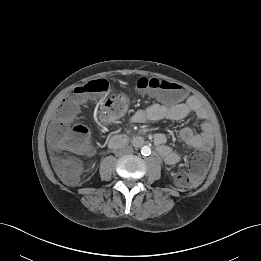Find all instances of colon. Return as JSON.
Masks as SVG:
<instances>
[{"label": "colon", "instance_id": "5ec220e1", "mask_svg": "<svg viewBox=\"0 0 261 261\" xmlns=\"http://www.w3.org/2000/svg\"><path fill=\"white\" fill-rule=\"evenodd\" d=\"M135 87L142 92L154 96L165 104L176 103L183 98L182 88L172 82L158 78H140ZM105 94L106 103L111 110L108 120H113L124 114L128 103L119 94L110 93V84L106 79H95L77 86L61 106L59 114L62 118H70L76 112L79 97L88 94ZM54 143L61 149L74 154H90L93 146L90 132L86 126L67 125L57 126L53 129ZM211 162V155L205 150L193 152L189 156L188 170L175 173V182L180 187H193L204 175ZM55 169L62 179L69 184L77 182L82 170L81 161L74 156H60L55 159Z\"/></svg>", "mask_w": 261, "mask_h": 261}]
</instances>
